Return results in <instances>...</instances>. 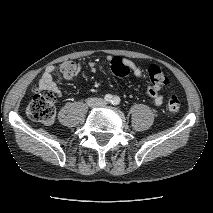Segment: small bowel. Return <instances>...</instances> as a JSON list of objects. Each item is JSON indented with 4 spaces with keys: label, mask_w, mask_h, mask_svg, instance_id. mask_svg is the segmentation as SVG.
Returning a JSON list of instances; mask_svg holds the SVG:
<instances>
[{
    "label": "small bowel",
    "mask_w": 213,
    "mask_h": 213,
    "mask_svg": "<svg viewBox=\"0 0 213 213\" xmlns=\"http://www.w3.org/2000/svg\"><path fill=\"white\" fill-rule=\"evenodd\" d=\"M112 60H113V58L108 57L105 59L104 63L111 64ZM122 60H124L126 63H128L130 65L132 73L136 78L143 77V70L139 66L135 65L132 61H130L128 59H122ZM76 66H77V71H79L80 64H77ZM88 67L90 68V70L92 72H95L97 70V63L94 61L90 62L88 64ZM54 72H55V66H53V65L47 66L40 79L39 87H40V89H43V90H49L52 93H54L55 95H57L58 97H60L62 95V92H61V89L59 88V86L57 85V83L54 81V78H53ZM146 94L152 98V100L156 106H160L162 104L163 97H162L159 89H157L153 86H149L146 89Z\"/></svg>",
    "instance_id": "c3829d8e"
}]
</instances>
